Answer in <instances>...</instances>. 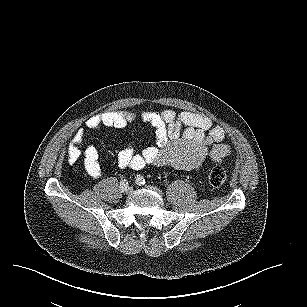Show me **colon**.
I'll return each instance as SVG.
<instances>
[{
	"mask_svg": "<svg viewBox=\"0 0 307 307\" xmlns=\"http://www.w3.org/2000/svg\"><path fill=\"white\" fill-rule=\"evenodd\" d=\"M206 179L211 186L221 187L227 181V173L222 167L216 166L207 171Z\"/></svg>",
	"mask_w": 307,
	"mask_h": 307,
	"instance_id": "1",
	"label": "colon"
}]
</instances>
